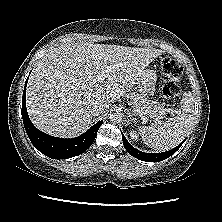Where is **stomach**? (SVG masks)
Masks as SVG:
<instances>
[{"label": "stomach", "mask_w": 222, "mask_h": 222, "mask_svg": "<svg viewBox=\"0 0 222 222\" xmlns=\"http://www.w3.org/2000/svg\"><path fill=\"white\" fill-rule=\"evenodd\" d=\"M157 80L156 72L153 70H143L136 85L142 96L147 97L154 94Z\"/></svg>", "instance_id": "stomach-1"}]
</instances>
